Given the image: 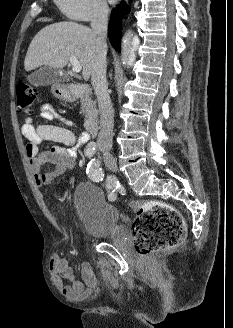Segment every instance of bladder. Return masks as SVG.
<instances>
[{
    "label": "bladder",
    "instance_id": "obj_1",
    "mask_svg": "<svg viewBox=\"0 0 233 328\" xmlns=\"http://www.w3.org/2000/svg\"><path fill=\"white\" fill-rule=\"evenodd\" d=\"M73 205L87 235L93 238L112 236L120 227L117 208L91 183H80L73 192Z\"/></svg>",
    "mask_w": 233,
    "mask_h": 328
}]
</instances>
